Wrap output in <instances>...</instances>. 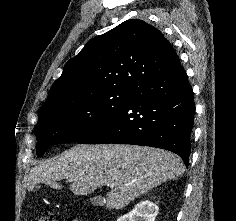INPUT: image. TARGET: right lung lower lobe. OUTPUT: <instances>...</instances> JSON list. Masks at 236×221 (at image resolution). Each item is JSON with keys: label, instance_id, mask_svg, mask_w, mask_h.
I'll use <instances>...</instances> for the list:
<instances>
[{"label": "right lung lower lobe", "instance_id": "right-lung-lower-lobe-1", "mask_svg": "<svg viewBox=\"0 0 236 221\" xmlns=\"http://www.w3.org/2000/svg\"><path fill=\"white\" fill-rule=\"evenodd\" d=\"M195 104L193 90L180 60L142 82L132 96L96 129L78 140L163 148L188 166Z\"/></svg>", "mask_w": 236, "mask_h": 221}]
</instances>
